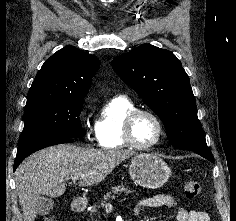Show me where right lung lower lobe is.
<instances>
[{"mask_svg":"<svg viewBox=\"0 0 236 221\" xmlns=\"http://www.w3.org/2000/svg\"><path fill=\"white\" fill-rule=\"evenodd\" d=\"M70 142H73V139L66 137L40 138L24 142L18 145L17 156L14 162L13 170L15 171L18 165L23 161V159L28 155L34 153L35 151L48 146Z\"/></svg>","mask_w":236,"mask_h":221,"instance_id":"obj_1","label":"right lung lower lobe"}]
</instances>
